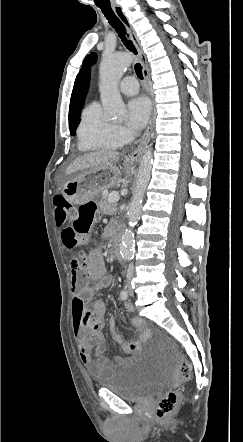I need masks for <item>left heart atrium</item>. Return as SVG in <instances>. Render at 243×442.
<instances>
[{"label": "left heart atrium", "instance_id": "39dd6f15", "mask_svg": "<svg viewBox=\"0 0 243 442\" xmlns=\"http://www.w3.org/2000/svg\"><path fill=\"white\" fill-rule=\"evenodd\" d=\"M150 114V103L145 97L131 99L127 105V125L132 130L142 129Z\"/></svg>", "mask_w": 243, "mask_h": 442}]
</instances>
